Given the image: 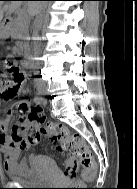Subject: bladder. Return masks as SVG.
<instances>
[{"label":"bladder","mask_w":137,"mask_h":189,"mask_svg":"<svg viewBox=\"0 0 137 189\" xmlns=\"http://www.w3.org/2000/svg\"><path fill=\"white\" fill-rule=\"evenodd\" d=\"M60 172L55 160L50 156H41L26 169L9 171L8 177L12 182L23 185H47L57 180Z\"/></svg>","instance_id":"1"}]
</instances>
